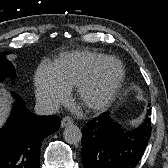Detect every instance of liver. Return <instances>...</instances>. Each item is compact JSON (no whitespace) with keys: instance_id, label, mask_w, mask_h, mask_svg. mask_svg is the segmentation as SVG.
I'll return each mask as SVG.
<instances>
[{"instance_id":"liver-1","label":"liver","mask_w":168,"mask_h":168,"mask_svg":"<svg viewBox=\"0 0 168 168\" xmlns=\"http://www.w3.org/2000/svg\"><path fill=\"white\" fill-rule=\"evenodd\" d=\"M9 105L10 101L8 95L6 94V90L0 88V127L6 121L9 111Z\"/></svg>"}]
</instances>
